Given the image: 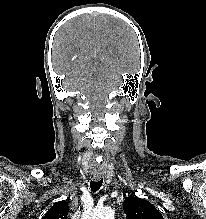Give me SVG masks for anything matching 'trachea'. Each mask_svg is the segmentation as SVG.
<instances>
[{
  "mask_svg": "<svg viewBox=\"0 0 206 219\" xmlns=\"http://www.w3.org/2000/svg\"><path fill=\"white\" fill-rule=\"evenodd\" d=\"M102 183H103V179L97 180V181L92 180L90 182V189H91V191H93V192L98 191L101 188Z\"/></svg>",
  "mask_w": 206,
  "mask_h": 219,
  "instance_id": "obj_1",
  "label": "trachea"
}]
</instances>
